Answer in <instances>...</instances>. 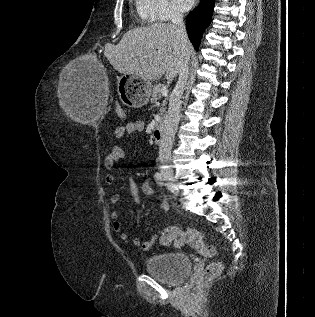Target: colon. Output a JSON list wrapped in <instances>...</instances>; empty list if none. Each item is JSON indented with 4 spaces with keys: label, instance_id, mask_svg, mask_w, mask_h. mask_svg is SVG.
Masks as SVG:
<instances>
[{
    "label": "colon",
    "instance_id": "5ec220e1",
    "mask_svg": "<svg viewBox=\"0 0 315 317\" xmlns=\"http://www.w3.org/2000/svg\"><path fill=\"white\" fill-rule=\"evenodd\" d=\"M118 115L123 118L125 112L122 107L117 108ZM160 242L164 246L190 244L203 256H212L215 252L213 246L206 245L203 234L194 228L181 229L176 226L165 228L160 234ZM223 269L219 261L210 263L197 280L199 286L205 285L217 277Z\"/></svg>",
    "mask_w": 315,
    "mask_h": 317
}]
</instances>
